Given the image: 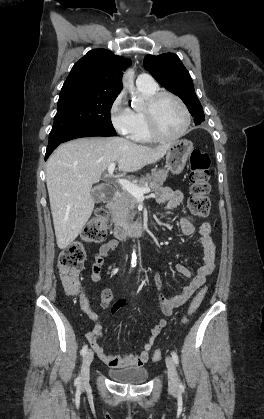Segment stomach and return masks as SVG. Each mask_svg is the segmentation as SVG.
I'll use <instances>...</instances> for the list:
<instances>
[{"label": "stomach", "mask_w": 264, "mask_h": 419, "mask_svg": "<svg viewBox=\"0 0 264 419\" xmlns=\"http://www.w3.org/2000/svg\"><path fill=\"white\" fill-rule=\"evenodd\" d=\"M192 150L193 143L189 140L182 139L171 143L166 153L168 169L174 174L181 173Z\"/></svg>", "instance_id": "obj_1"}]
</instances>
